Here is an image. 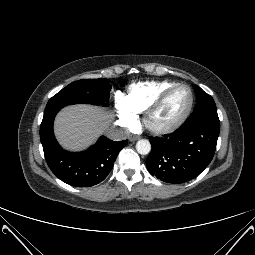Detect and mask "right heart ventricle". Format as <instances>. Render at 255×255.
Here are the masks:
<instances>
[{
  "instance_id": "1",
  "label": "right heart ventricle",
  "mask_w": 255,
  "mask_h": 255,
  "mask_svg": "<svg viewBox=\"0 0 255 255\" xmlns=\"http://www.w3.org/2000/svg\"><path fill=\"white\" fill-rule=\"evenodd\" d=\"M174 85L176 83L170 81L133 84L129 87L123 100L133 112L140 114L145 112L165 90Z\"/></svg>"
}]
</instances>
